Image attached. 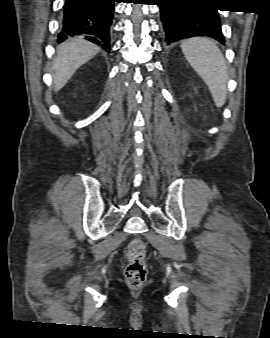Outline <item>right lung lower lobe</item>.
I'll return each instance as SVG.
<instances>
[{
	"instance_id": "obj_1",
	"label": "right lung lower lobe",
	"mask_w": 270,
	"mask_h": 338,
	"mask_svg": "<svg viewBox=\"0 0 270 338\" xmlns=\"http://www.w3.org/2000/svg\"><path fill=\"white\" fill-rule=\"evenodd\" d=\"M117 0H65L58 41L83 37L110 51V26Z\"/></svg>"
}]
</instances>
